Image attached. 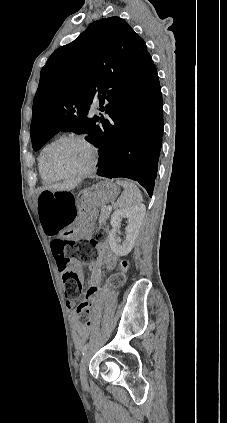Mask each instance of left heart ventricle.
<instances>
[{
	"instance_id": "1",
	"label": "left heart ventricle",
	"mask_w": 227,
	"mask_h": 423,
	"mask_svg": "<svg viewBox=\"0 0 227 423\" xmlns=\"http://www.w3.org/2000/svg\"><path fill=\"white\" fill-rule=\"evenodd\" d=\"M91 151L82 143L69 142L58 148L51 156V164L58 170L77 174L91 162Z\"/></svg>"
}]
</instances>
